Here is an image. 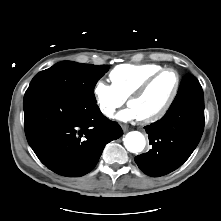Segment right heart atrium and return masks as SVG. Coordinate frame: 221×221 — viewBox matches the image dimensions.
Listing matches in <instances>:
<instances>
[{"label":"right heart atrium","mask_w":221,"mask_h":221,"mask_svg":"<svg viewBox=\"0 0 221 221\" xmlns=\"http://www.w3.org/2000/svg\"><path fill=\"white\" fill-rule=\"evenodd\" d=\"M93 96L100 112L109 119L113 118L116 110L124 103V98L116 89L102 80L95 83Z\"/></svg>","instance_id":"right-heart-atrium-1"}]
</instances>
